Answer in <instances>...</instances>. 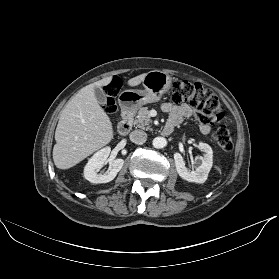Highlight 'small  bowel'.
<instances>
[{
    "instance_id": "c3829d8e",
    "label": "small bowel",
    "mask_w": 279,
    "mask_h": 279,
    "mask_svg": "<svg viewBox=\"0 0 279 279\" xmlns=\"http://www.w3.org/2000/svg\"><path fill=\"white\" fill-rule=\"evenodd\" d=\"M163 112L168 113L169 118L166 125L176 126L181 123L185 118L193 114L192 108L187 104L175 105L172 103H163L161 106ZM202 134H208L211 130L209 123H200L198 126Z\"/></svg>"
}]
</instances>
